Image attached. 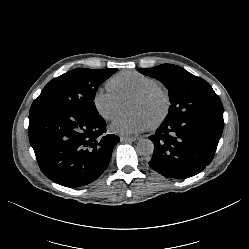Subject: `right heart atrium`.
Wrapping results in <instances>:
<instances>
[{
	"label": "right heart atrium",
	"instance_id": "1",
	"mask_svg": "<svg viewBox=\"0 0 249 249\" xmlns=\"http://www.w3.org/2000/svg\"><path fill=\"white\" fill-rule=\"evenodd\" d=\"M92 104L101 118L110 120L118 112L121 100L109 88L100 86L93 93Z\"/></svg>",
	"mask_w": 249,
	"mask_h": 249
}]
</instances>
